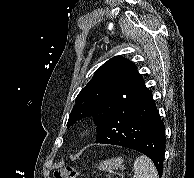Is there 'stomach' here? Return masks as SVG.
Returning <instances> with one entry per match:
<instances>
[{"mask_svg": "<svg viewBox=\"0 0 194 178\" xmlns=\"http://www.w3.org/2000/svg\"><path fill=\"white\" fill-rule=\"evenodd\" d=\"M124 159L122 157H114L101 162L98 166L100 171L112 172L113 170L123 169Z\"/></svg>", "mask_w": 194, "mask_h": 178, "instance_id": "obj_1", "label": "stomach"}]
</instances>
